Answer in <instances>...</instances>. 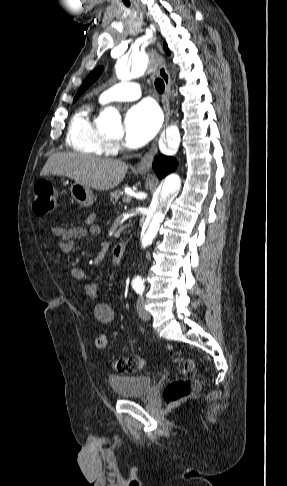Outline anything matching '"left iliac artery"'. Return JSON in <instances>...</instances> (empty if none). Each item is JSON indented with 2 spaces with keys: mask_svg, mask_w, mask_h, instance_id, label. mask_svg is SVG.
Here are the masks:
<instances>
[{
  "mask_svg": "<svg viewBox=\"0 0 287 486\" xmlns=\"http://www.w3.org/2000/svg\"><path fill=\"white\" fill-rule=\"evenodd\" d=\"M134 289H135L137 294L141 295L144 291V286H135Z\"/></svg>",
  "mask_w": 287,
  "mask_h": 486,
  "instance_id": "obj_1",
  "label": "left iliac artery"
}]
</instances>
